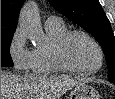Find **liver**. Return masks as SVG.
I'll return each instance as SVG.
<instances>
[{
	"label": "liver",
	"instance_id": "1",
	"mask_svg": "<svg viewBox=\"0 0 115 99\" xmlns=\"http://www.w3.org/2000/svg\"><path fill=\"white\" fill-rule=\"evenodd\" d=\"M81 83L64 76H18L1 71V99H59Z\"/></svg>",
	"mask_w": 115,
	"mask_h": 99
}]
</instances>
